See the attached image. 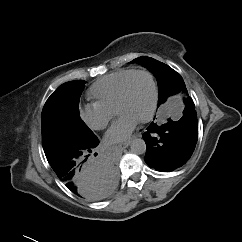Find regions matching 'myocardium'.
<instances>
[{"label": "myocardium", "mask_w": 242, "mask_h": 242, "mask_svg": "<svg viewBox=\"0 0 242 242\" xmlns=\"http://www.w3.org/2000/svg\"><path fill=\"white\" fill-rule=\"evenodd\" d=\"M138 74L146 75L149 78L152 86V101H151L150 109L147 115L143 117L141 120H139L140 123H147L153 119L156 112L157 104H158V85L154 75L148 70H144V69L134 70L125 78L118 94L115 111L118 114L119 108L126 98L129 82L135 75H138Z\"/></svg>", "instance_id": "1"}]
</instances>
